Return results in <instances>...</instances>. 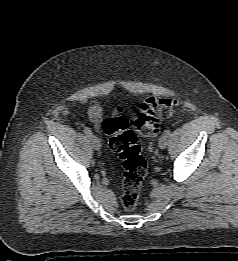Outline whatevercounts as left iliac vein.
Wrapping results in <instances>:
<instances>
[{
    "label": "left iliac vein",
    "mask_w": 238,
    "mask_h": 261,
    "mask_svg": "<svg viewBox=\"0 0 238 261\" xmlns=\"http://www.w3.org/2000/svg\"><path fill=\"white\" fill-rule=\"evenodd\" d=\"M158 144H159L160 149L166 148V146L168 144V137L166 135H162L159 139Z\"/></svg>",
    "instance_id": "left-iliac-vein-1"
}]
</instances>
